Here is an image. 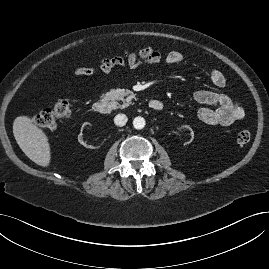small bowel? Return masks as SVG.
<instances>
[{"mask_svg":"<svg viewBox=\"0 0 269 269\" xmlns=\"http://www.w3.org/2000/svg\"><path fill=\"white\" fill-rule=\"evenodd\" d=\"M163 61L170 65H177L183 62V56L178 51H170L163 55L150 46L134 52L126 49L122 55L102 58L97 66L76 68L73 74L77 77L90 76L98 72L109 74L116 67L136 69L144 65L159 64ZM209 77L216 87L221 88L226 84L224 74L218 69H211ZM193 98L197 103L205 105L197 113L198 119L204 124L230 126L245 116L243 105L225 93L198 90L193 94Z\"/></svg>","mask_w":269,"mask_h":269,"instance_id":"small-bowel-1","label":"small bowel"}]
</instances>
